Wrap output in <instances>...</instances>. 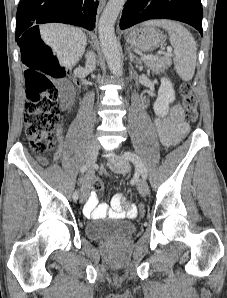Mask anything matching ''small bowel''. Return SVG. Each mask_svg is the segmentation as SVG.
I'll return each mask as SVG.
<instances>
[{"label": "small bowel", "mask_w": 227, "mask_h": 298, "mask_svg": "<svg viewBox=\"0 0 227 298\" xmlns=\"http://www.w3.org/2000/svg\"><path fill=\"white\" fill-rule=\"evenodd\" d=\"M154 126L161 144L165 147L179 143L189 131V126L184 122L183 111L179 104H173L166 116L156 117ZM60 133L61 130L58 129V134L60 135ZM39 161L43 164L46 163V159L43 157H39ZM86 181L84 179L81 183V193L85 190ZM83 213L87 218L92 219L104 218L106 216L124 218L126 215H136L137 208L136 204H129L127 210H125V201L121 195H116L113 198L111 207L105 203L99 204L96 193L88 192Z\"/></svg>", "instance_id": "small-bowel-1"}]
</instances>
